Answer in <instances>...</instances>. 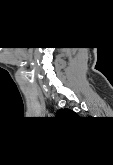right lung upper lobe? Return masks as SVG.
<instances>
[{"label":"right lung upper lobe","mask_w":113,"mask_h":165,"mask_svg":"<svg viewBox=\"0 0 113 165\" xmlns=\"http://www.w3.org/2000/svg\"><path fill=\"white\" fill-rule=\"evenodd\" d=\"M57 114L59 115H76L73 111H70L69 109H60Z\"/></svg>","instance_id":"right-lung-upper-lobe-1"}]
</instances>
